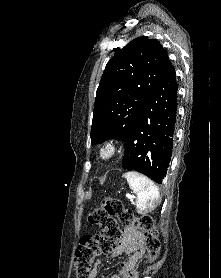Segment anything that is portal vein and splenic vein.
Returning <instances> with one entry per match:
<instances>
[{
	"label": "portal vein and splenic vein",
	"instance_id": "portal-vein-and-splenic-vein-1",
	"mask_svg": "<svg viewBox=\"0 0 221 278\" xmlns=\"http://www.w3.org/2000/svg\"><path fill=\"white\" fill-rule=\"evenodd\" d=\"M126 197H127L128 199H131V198H132L131 195H129V194H127Z\"/></svg>",
	"mask_w": 221,
	"mask_h": 278
}]
</instances>
